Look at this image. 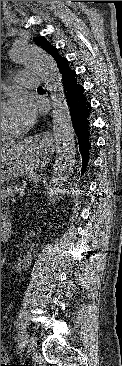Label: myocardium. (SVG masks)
<instances>
[{"mask_svg": "<svg viewBox=\"0 0 122 366\" xmlns=\"http://www.w3.org/2000/svg\"><path fill=\"white\" fill-rule=\"evenodd\" d=\"M6 106V101L4 99H1V107ZM15 139V135L8 136V137H1V144L2 143H11Z\"/></svg>", "mask_w": 122, "mask_h": 366, "instance_id": "1", "label": "myocardium"}]
</instances>
